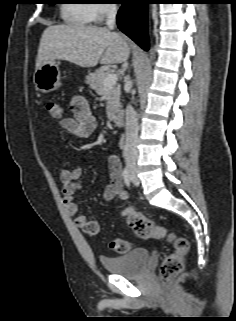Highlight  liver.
<instances>
[{
	"label": "liver",
	"instance_id": "obj_1",
	"mask_svg": "<svg viewBox=\"0 0 236 321\" xmlns=\"http://www.w3.org/2000/svg\"><path fill=\"white\" fill-rule=\"evenodd\" d=\"M130 48L126 39L106 27L94 25H54L42 34L36 70L44 63L65 60L81 67L127 61Z\"/></svg>",
	"mask_w": 236,
	"mask_h": 321
}]
</instances>
